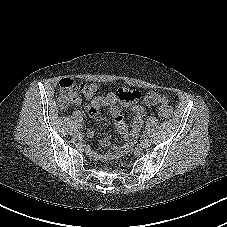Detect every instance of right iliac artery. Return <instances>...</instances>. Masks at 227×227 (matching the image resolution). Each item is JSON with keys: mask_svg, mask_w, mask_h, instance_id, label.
<instances>
[{"mask_svg": "<svg viewBox=\"0 0 227 227\" xmlns=\"http://www.w3.org/2000/svg\"><path fill=\"white\" fill-rule=\"evenodd\" d=\"M74 127H75V129H77V130H78V129H80V127H81V126H80V124H78V123H77V124H75V126H74Z\"/></svg>", "mask_w": 227, "mask_h": 227, "instance_id": "obj_1", "label": "right iliac artery"}]
</instances>
